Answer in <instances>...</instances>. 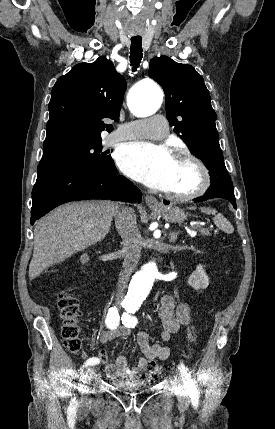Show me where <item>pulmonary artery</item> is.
Returning <instances> with one entry per match:
<instances>
[{
  "instance_id": "e3ab8cb5",
  "label": "pulmonary artery",
  "mask_w": 275,
  "mask_h": 429,
  "mask_svg": "<svg viewBox=\"0 0 275 429\" xmlns=\"http://www.w3.org/2000/svg\"><path fill=\"white\" fill-rule=\"evenodd\" d=\"M168 134L167 122L163 116L157 115L149 119L135 120L119 125L110 135V142L132 140L138 138L163 139Z\"/></svg>"
}]
</instances>
